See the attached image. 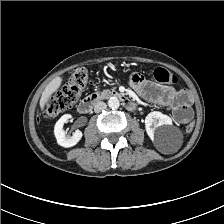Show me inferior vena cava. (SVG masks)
<instances>
[{
  "label": "inferior vena cava",
  "instance_id": "1",
  "mask_svg": "<svg viewBox=\"0 0 224 224\" xmlns=\"http://www.w3.org/2000/svg\"><path fill=\"white\" fill-rule=\"evenodd\" d=\"M107 108L106 103L104 102H98L94 107L95 113H100L101 111L105 110Z\"/></svg>",
  "mask_w": 224,
  "mask_h": 224
}]
</instances>
